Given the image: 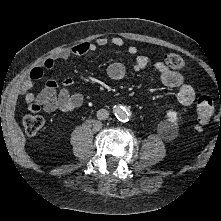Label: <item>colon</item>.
<instances>
[{"label": "colon", "mask_w": 221, "mask_h": 221, "mask_svg": "<svg viewBox=\"0 0 221 221\" xmlns=\"http://www.w3.org/2000/svg\"><path fill=\"white\" fill-rule=\"evenodd\" d=\"M164 64L169 69L183 70L185 68L182 58L174 53H168L164 56ZM214 105L210 96L203 95L197 101L196 115H197V128L203 130L213 115ZM43 118L36 114H27L23 118V127L25 132L30 136L39 134L43 127Z\"/></svg>", "instance_id": "1"}]
</instances>
